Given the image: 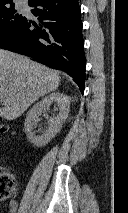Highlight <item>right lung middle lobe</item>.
Returning a JSON list of instances; mask_svg holds the SVG:
<instances>
[{"instance_id": "obj_1", "label": "right lung middle lobe", "mask_w": 128, "mask_h": 213, "mask_svg": "<svg viewBox=\"0 0 128 213\" xmlns=\"http://www.w3.org/2000/svg\"><path fill=\"white\" fill-rule=\"evenodd\" d=\"M21 13L14 9V4L0 6V42L9 36L25 21Z\"/></svg>"}]
</instances>
